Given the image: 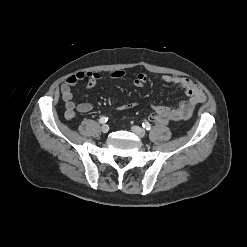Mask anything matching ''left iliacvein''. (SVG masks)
Segmentation results:
<instances>
[{
	"label": "left iliac vein",
	"instance_id": "1",
	"mask_svg": "<svg viewBox=\"0 0 247 247\" xmlns=\"http://www.w3.org/2000/svg\"><path fill=\"white\" fill-rule=\"evenodd\" d=\"M131 130L134 134H136L140 138H143L146 135L145 130L139 126H133Z\"/></svg>",
	"mask_w": 247,
	"mask_h": 247
}]
</instances>
